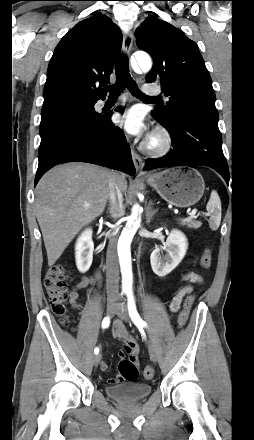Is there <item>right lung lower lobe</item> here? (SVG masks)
<instances>
[{
    "mask_svg": "<svg viewBox=\"0 0 254 440\" xmlns=\"http://www.w3.org/2000/svg\"><path fill=\"white\" fill-rule=\"evenodd\" d=\"M111 115L97 114L86 121L70 124L41 142L35 186L52 167L74 161L101 165L134 175L130 147L123 132L111 122Z\"/></svg>",
    "mask_w": 254,
    "mask_h": 440,
    "instance_id": "right-lung-lower-lobe-1",
    "label": "right lung lower lobe"
}]
</instances>
